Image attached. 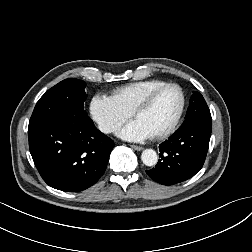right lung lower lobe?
Listing matches in <instances>:
<instances>
[{
    "mask_svg": "<svg viewBox=\"0 0 252 252\" xmlns=\"http://www.w3.org/2000/svg\"><path fill=\"white\" fill-rule=\"evenodd\" d=\"M29 148L43 180L51 187L78 192L105 172L114 142L86 116L64 114L29 124Z\"/></svg>",
    "mask_w": 252,
    "mask_h": 252,
    "instance_id": "98d812e1",
    "label": "right lung lower lobe"
}]
</instances>
